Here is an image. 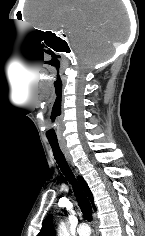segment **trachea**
<instances>
[{
	"label": "trachea",
	"instance_id": "1",
	"mask_svg": "<svg viewBox=\"0 0 145 236\" xmlns=\"http://www.w3.org/2000/svg\"><path fill=\"white\" fill-rule=\"evenodd\" d=\"M51 148L53 150L54 157L56 159V162L58 163L61 171L65 175V177L68 179L70 184L73 187L75 197L77 199L78 205L81 208V211L85 217L86 220L91 221L92 220V207L90 204V201L88 200L85 193L82 191L80 186L78 185L70 167L68 166L60 148L58 142H52L49 141Z\"/></svg>",
	"mask_w": 145,
	"mask_h": 236
}]
</instances>
